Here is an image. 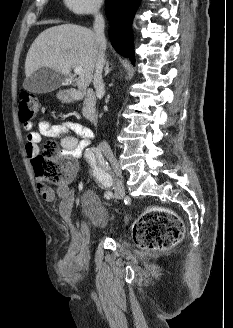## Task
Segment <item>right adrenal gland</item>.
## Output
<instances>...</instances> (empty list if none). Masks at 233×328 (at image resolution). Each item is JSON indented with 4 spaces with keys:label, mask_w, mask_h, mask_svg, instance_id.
<instances>
[{
    "label": "right adrenal gland",
    "mask_w": 233,
    "mask_h": 328,
    "mask_svg": "<svg viewBox=\"0 0 233 328\" xmlns=\"http://www.w3.org/2000/svg\"><path fill=\"white\" fill-rule=\"evenodd\" d=\"M112 71V69H110L109 67V62L108 60L106 61V67H105V74L104 76H107L109 74V72Z\"/></svg>",
    "instance_id": "right-adrenal-gland-1"
}]
</instances>
